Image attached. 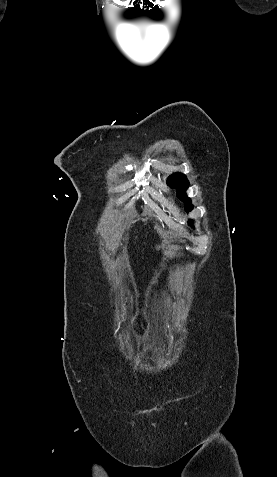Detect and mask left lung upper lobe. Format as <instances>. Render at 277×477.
Returning a JSON list of instances; mask_svg holds the SVG:
<instances>
[{"instance_id":"left-lung-upper-lobe-1","label":"left lung upper lobe","mask_w":277,"mask_h":477,"mask_svg":"<svg viewBox=\"0 0 277 477\" xmlns=\"http://www.w3.org/2000/svg\"><path fill=\"white\" fill-rule=\"evenodd\" d=\"M167 184L172 188H177V196L185 202V210L187 212L192 210L190 198L187 197L185 191L188 188L189 182L186 176L182 173H175L168 177ZM192 223V222H190Z\"/></svg>"}]
</instances>
